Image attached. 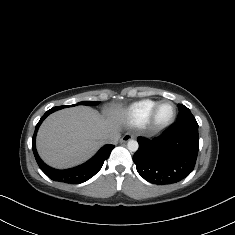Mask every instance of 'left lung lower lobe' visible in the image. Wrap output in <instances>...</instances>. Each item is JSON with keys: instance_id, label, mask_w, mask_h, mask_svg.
<instances>
[{"instance_id": "1", "label": "left lung lower lobe", "mask_w": 235, "mask_h": 235, "mask_svg": "<svg viewBox=\"0 0 235 235\" xmlns=\"http://www.w3.org/2000/svg\"><path fill=\"white\" fill-rule=\"evenodd\" d=\"M133 156L138 173L154 184H171L194 169L198 150V124L176 122L153 139L138 137Z\"/></svg>"}]
</instances>
